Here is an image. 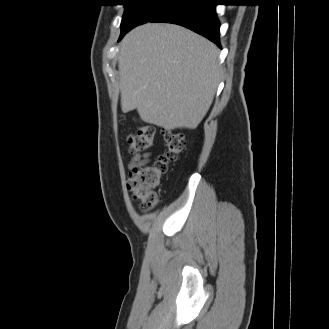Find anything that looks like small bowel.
Returning a JSON list of instances; mask_svg holds the SVG:
<instances>
[{
    "mask_svg": "<svg viewBox=\"0 0 329 329\" xmlns=\"http://www.w3.org/2000/svg\"><path fill=\"white\" fill-rule=\"evenodd\" d=\"M141 160H145V158L142 159L139 155H136V156L134 157L133 161L131 162L130 166H131V167L135 166L136 163L139 162V161H141Z\"/></svg>",
    "mask_w": 329,
    "mask_h": 329,
    "instance_id": "small-bowel-1",
    "label": "small bowel"
}]
</instances>
